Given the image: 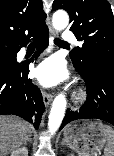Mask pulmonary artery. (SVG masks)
Instances as JSON below:
<instances>
[{"label":"pulmonary artery","mask_w":114,"mask_h":156,"mask_svg":"<svg viewBox=\"0 0 114 156\" xmlns=\"http://www.w3.org/2000/svg\"><path fill=\"white\" fill-rule=\"evenodd\" d=\"M63 39L66 42H68V41L69 42H76L75 36L73 35L72 32H70L68 30L63 33Z\"/></svg>","instance_id":"pulmonary-artery-1"}]
</instances>
